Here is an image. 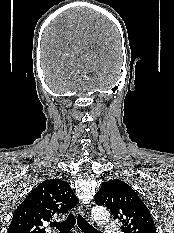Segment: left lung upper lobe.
<instances>
[{
    "mask_svg": "<svg viewBox=\"0 0 174 233\" xmlns=\"http://www.w3.org/2000/svg\"><path fill=\"white\" fill-rule=\"evenodd\" d=\"M97 205H105L124 233H156L146 205L129 185L119 179L104 183L95 195Z\"/></svg>",
    "mask_w": 174,
    "mask_h": 233,
    "instance_id": "1",
    "label": "left lung upper lobe"
}]
</instances>
